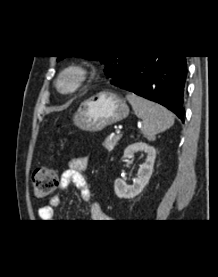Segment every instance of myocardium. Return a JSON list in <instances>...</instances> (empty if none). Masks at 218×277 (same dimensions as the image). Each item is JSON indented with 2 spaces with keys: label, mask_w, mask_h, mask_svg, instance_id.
<instances>
[{
  "label": "myocardium",
  "mask_w": 218,
  "mask_h": 277,
  "mask_svg": "<svg viewBox=\"0 0 218 277\" xmlns=\"http://www.w3.org/2000/svg\"><path fill=\"white\" fill-rule=\"evenodd\" d=\"M88 67L81 63H71L63 67L55 79V87L61 94L77 92L90 76Z\"/></svg>",
  "instance_id": "myocardium-1"
}]
</instances>
